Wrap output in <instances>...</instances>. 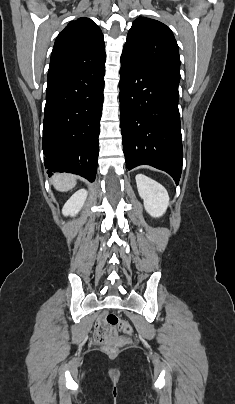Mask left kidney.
Returning a JSON list of instances; mask_svg holds the SVG:
<instances>
[{
	"mask_svg": "<svg viewBox=\"0 0 235 404\" xmlns=\"http://www.w3.org/2000/svg\"><path fill=\"white\" fill-rule=\"evenodd\" d=\"M136 184L140 197L144 201L145 210L152 217H161L169 204V196L166 189L151 178L137 174Z\"/></svg>",
	"mask_w": 235,
	"mask_h": 404,
	"instance_id": "1",
	"label": "left kidney"
}]
</instances>
